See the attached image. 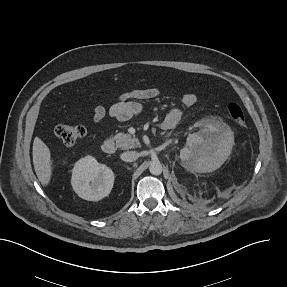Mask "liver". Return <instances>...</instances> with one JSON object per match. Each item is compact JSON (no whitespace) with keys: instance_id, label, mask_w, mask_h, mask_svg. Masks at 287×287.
Segmentation results:
<instances>
[{"instance_id":"1","label":"liver","mask_w":287,"mask_h":287,"mask_svg":"<svg viewBox=\"0 0 287 287\" xmlns=\"http://www.w3.org/2000/svg\"><path fill=\"white\" fill-rule=\"evenodd\" d=\"M32 150L36 175L41 184L46 187L50 183L53 170L50 149L39 137H35Z\"/></svg>"}]
</instances>
